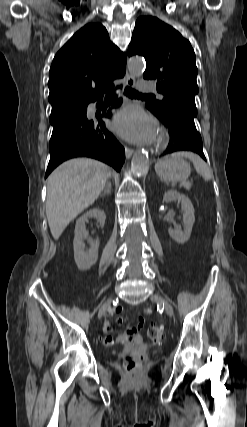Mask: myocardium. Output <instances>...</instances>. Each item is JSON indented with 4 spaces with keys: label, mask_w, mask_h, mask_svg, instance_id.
Listing matches in <instances>:
<instances>
[{
    "label": "myocardium",
    "mask_w": 247,
    "mask_h": 427,
    "mask_svg": "<svg viewBox=\"0 0 247 427\" xmlns=\"http://www.w3.org/2000/svg\"><path fill=\"white\" fill-rule=\"evenodd\" d=\"M166 141H167V134L164 131H161L157 138V145L162 146L166 143Z\"/></svg>",
    "instance_id": "obj_1"
}]
</instances>
